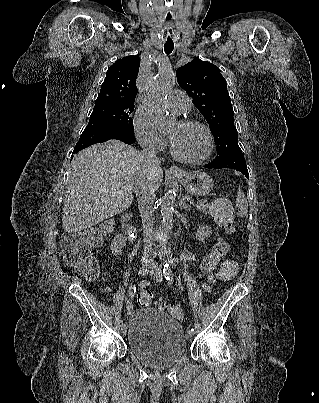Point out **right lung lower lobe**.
I'll use <instances>...</instances> for the list:
<instances>
[{"mask_svg":"<svg viewBox=\"0 0 319 403\" xmlns=\"http://www.w3.org/2000/svg\"><path fill=\"white\" fill-rule=\"evenodd\" d=\"M110 139H117L127 144H133L135 142L134 133L122 127L113 125L96 126L86 128L83 131L79 141L74 147L73 153H77L95 143L105 142Z\"/></svg>","mask_w":319,"mask_h":403,"instance_id":"obj_1","label":"right lung lower lobe"}]
</instances>
